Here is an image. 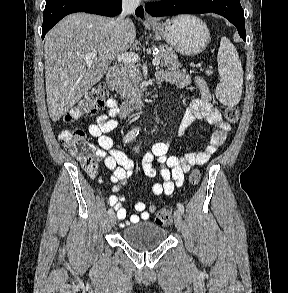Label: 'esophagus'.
I'll list each match as a JSON object with an SVG mask.
<instances>
[{
    "instance_id": "obj_1",
    "label": "esophagus",
    "mask_w": 288,
    "mask_h": 293,
    "mask_svg": "<svg viewBox=\"0 0 288 293\" xmlns=\"http://www.w3.org/2000/svg\"><path fill=\"white\" fill-rule=\"evenodd\" d=\"M145 19H146V22H148V23H153L154 22V19L148 14H146Z\"/></svg>"
}]
</instances>
